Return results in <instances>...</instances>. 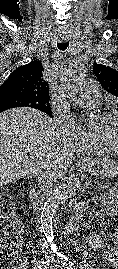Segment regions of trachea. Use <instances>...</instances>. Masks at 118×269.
<instances>
[{
	"mask_svg": "<svg viewBox=\"0 0 118 269\" xmlns=\"http://www.w3.org/2000/svg\"><path fill=\"white\" fill-rule=\"evenodd\" d=\"M69 46V42L57 43V47L59 50H65Z\"/></svg>",
	"mask_w": 118,
	"mask_h": 269,
	"instance_id": "obj_1",
	"label": "trachea"
}]
</instances>
